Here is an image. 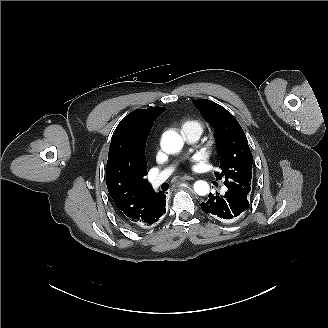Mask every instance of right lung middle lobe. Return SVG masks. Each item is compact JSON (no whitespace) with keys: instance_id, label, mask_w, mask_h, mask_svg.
Returning a JSON list of instances; mask_svg holds the SVG:
<instances>
[{"instance_id":"right-lung-middle-lobe-1","label":"right lung middle lobe","mask_w":328,"mask_h":328,"mask_svg":"<svg viewBox=\"0 0 328 328\" xmlns=\"http://www.w3.org/2000/svg\"><path fill=\"white\" fill-rule=\"evenodd\" d=\"M153 124L154 121H148L145 124L141 125L137 132L139 147L143 156H145V145L148 138V134L150 133Z\"/></svg>"}]
</instances>
